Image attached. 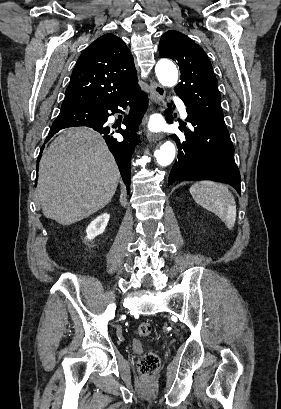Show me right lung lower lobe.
<instances>
[{
    "label": "right lung lower lobe",
    "instance_id": "right-lung-lower-lobe-1",
    "mask_svg": "<svg viewBox=\"0 0 281 409\" xmlns=\"http://www.w3.org/2000/svg\"><path fill=\"white\" fill-rule=\"evenodd\" d=\"M127 101H129V103H127ZM147 103V95L141 91L139 87L130 95L112 101L89 106L62 107L59 114V116L83 117L87 122L80 126L93 128L95 131L103 134L110 151L116 159L128 193L130 191L131 155L135 145L139 142L135 131L146 109ZM128 104L135 112L131 111L129 115L124 118V128L117 125H108L107 118L114 113L121 112L118 107L124 108ZM63 128H67V126H52L45 142ZM116 133H120L123 139L116 137Z\"/></svg>",
    "mask_w": 281,
    "mask_h": 409
}]
</instances>
